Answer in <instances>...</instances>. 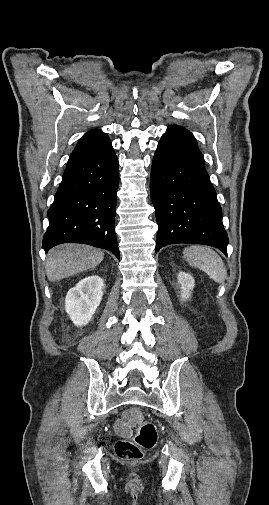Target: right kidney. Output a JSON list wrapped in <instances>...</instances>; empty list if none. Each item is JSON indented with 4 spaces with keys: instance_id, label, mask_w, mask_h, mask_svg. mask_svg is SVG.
Instances as JSON below:
<instances>
[{
    "instance_id": "ca27d5eb",
    "label": "right kidney",
    "mask_w": 269,
    "mask_h": 505,
    "mask_svg": "<svg viewBox=\"0 0 269 505\" xmlns=\"http://www.w3.org/2000/svg\"><path fill=\"white\" fill-rule=\"evenodd\" d=\"M104 280L99 276H88L71 288L65 298V310L76 326L91 321L103 296Z\"/></svg>"
}]
</instances>
